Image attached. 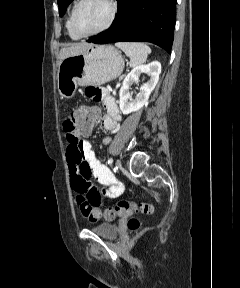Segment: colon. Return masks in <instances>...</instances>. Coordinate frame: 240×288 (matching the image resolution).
<instances>
[{
	"mask_svg": "<svg viewBox=\"0 0 240 288\" xmlns=\"http://www.w3.org/2000/svg\"><path fill=\"white\" fill-rule=\"evenodd\" d=\"M70 123L78 131L91 130L99 119V109L90 106H77L69 114ZM77 203L79 205L82 215L88 220L95 222L100 219L114 220L117 217L129 218L128 228L136 230L139 227V222L134 218V215L141 211L143 213H152L153 207L148 203H136L122 200L114 207H109L105 210L98 208L101 197L94 195L86 197L78 195Z\"/></svg>",
	"mask_w": 240,
	"mask_h": 288,
	"instance_id": "colon-1",
	"label": "colon"
}]
</instances>
